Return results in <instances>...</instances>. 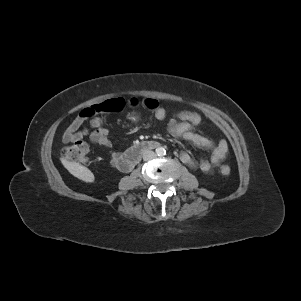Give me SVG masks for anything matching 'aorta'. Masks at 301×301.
Here are the masks:
<instances>
[{
  "label": "aorta",
  "mask_w": 301,
  "mask_h": 301,
  "mask_svg": "<svg viewBox=\"0 0 301 301\" xmlns=\"http://www.w3.org/2000/svg\"><path fill=\"white\" fill-rule=\"evenodd\" d=\"M165 154H166V150H165L164 147H158V148L156 149V155H157V156H163V155H165Z\"/></svg>",
  "instance_id": "762f6f07"
}]
</instances>
